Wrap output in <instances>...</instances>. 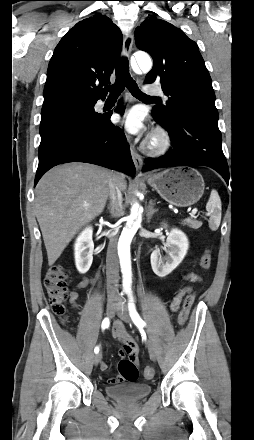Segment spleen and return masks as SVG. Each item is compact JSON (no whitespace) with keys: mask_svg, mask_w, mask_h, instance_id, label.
<instances>
[{"mask_svg":"<svg viewBox=\"0 0 254 440\" xmlns=\"http://www.w3.org/2000/svg\"><path fill=\"white\" fill-rule=\"evenodd\" d=\"M206 210L211 214L209 227L213 231L217 230L221 221V200L215 189L211 191L210 198L206 204Z\"/></svg>","mask_w":254,"mask_h":440,"instance_id":"3e777b00","label":"spleen"}]
</instances>
